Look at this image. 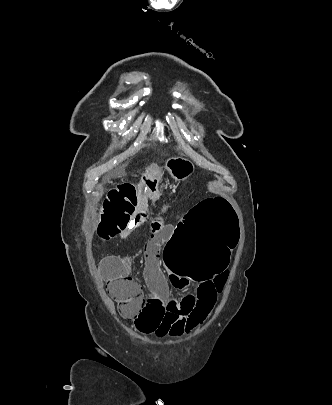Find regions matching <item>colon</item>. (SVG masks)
I'll return each instance as SVG.
<instances>
[{
	"instance_id": "colon-1",
	"label": "colon",
	"mask_w": 332,
	"mask_h": 405,
	"mask_svg": "<svg viewBox=\"0 0 332 405\" xmlns=\"http://www.w3.org/2000/svg\"><path fill=\"white\" fill-rule=\"evenodd\" d=\"M137 190L136 184L122 183L108 192L97 227L102 239L115 238L131 227L138 205ZM185 217L176 220L168 248H164L163 267L168 268L169 275H184L185 281H210L215 275L211 284L217 295L226 282L227 268H231L228 257H235L241 241L237 211L224 197H201L200 202L189 206ZM108 291L124 316L135 318L137 311H142L143 294L132 278L111 280Z\"/></svg>"
}]
</instances>
